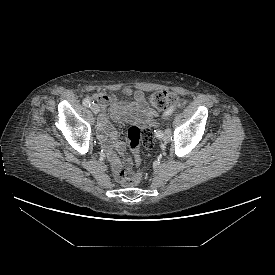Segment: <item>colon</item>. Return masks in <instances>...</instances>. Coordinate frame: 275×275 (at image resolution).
I'll list each match as a JSON object with an SVG mask.
<instances>
[{
  "label": "colon",
  "instance_id": "colon-1",
  "mask_svg": "<svg viewBox=\"0 0 275 275\" xmlns=\"http://www.w3.org/2000/svg\"><path fill=\"white\" fill-rule=\"evenodd\" d=\"M147 101L158 109H164L170 105L178 102L176 94L170 91H156L147 96ZM127 137L131 151L133 152L136 160L138 161V148L140 142L150 149L154 145L152 130L149 126L141 128L137 125L131 126L127 131ZM141 179V173L139 171L132 173L131 171L126 172V176L122 181L125 187H131L136 185Z\"/></svg>",
  "mask_w": 275,
  "mask_h": 275
}]
</instances>
